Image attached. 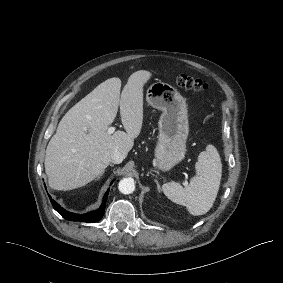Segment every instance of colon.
<instances>
[{"label": "colon", "mask_w": 283, "mask_h": 283, "mask_svg": "<svg viewBox=\"0 0 283 283\" xmlns=\"http://www.w3.org/2000/svg\"><path fill=\"white\" fill-rule=\"evenodd\" d=\"M176 83L180 88L192 91H202L206 88V84L193 76L181 74L176 78Z\"/></svg>", "instance_id": "5ec220e1"}]
</instances>
